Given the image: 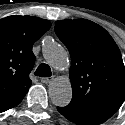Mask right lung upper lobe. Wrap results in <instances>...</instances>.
<instances>
[{"instance_id":"1","label":"right lung upper lobe","mask_w":125,"mask_h":125,"mask_svg":"<svg viewBox=\"0 0 125 125\" xmlns=\"http://www.w3.org/2000/svg\"><path fill=\"white\" fill-rule=\"evenodd\" d=\"M50 27V21L34 16L0 19V107L26 95L35 62L32 46Z\"/></svg>"}]
</instances>
